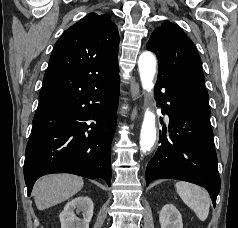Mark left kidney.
<instances>
[{"instance_id": "5707ae66", "label": "left kidney", "mask_w": 238, "mask_h": 228, "mask_svg": "<svg viewBox=\"0 0 238 228\" xmlns=\"http://www.w3.org/2000/svg\"><path fill=\"white\" fill-rule=\"evenodd\" d=\"M161 228H183L182 216L173 204L162 207L159 215Z\"/></svg>"}]
</instances>
